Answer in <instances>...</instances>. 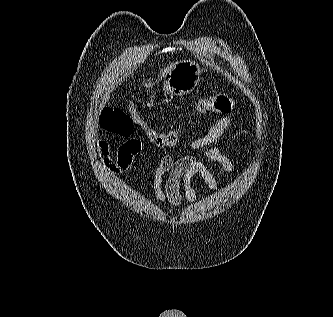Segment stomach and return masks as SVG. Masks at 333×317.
Returning a JSON list of instances; mask_svg holds the SVG:
<instances>
[{
    "mask_svg": "<svg viewBox=\"0 0 333 317\" xmlns=\"http://www.w3.org/2000/svg\"><path fill=\"white\" fill-rule=\"evenodd\" d=\"M200 73V67L197 63L188 60L180 61L166 74L163 89L170 95L182 96L189 94L197 86Z\"/></svg>",
    "mask_w": 333,
    "mask_h": 317,
    "instance_id": "1",
    "label": "stomach"
}]
</instances>
